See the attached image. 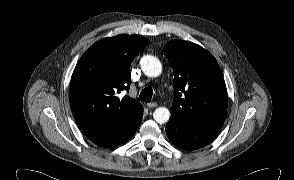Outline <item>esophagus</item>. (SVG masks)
Here are the masks:
<instances>
[{"mask_svg": "<svg viewBox=\"0 0 294 180\" xmlns=\"http://www.w3.org/2000/svg\"><path fill=\"white\" fill-rule=\"evenodd\" d=\"M147 106L149 108H154V107H157V103L156 102H150V103H147Z\"/></svg>", "mask_w": 294, "mask_h": 180, "instance_id": "1", "label": "esophagus"}]
</instances>
